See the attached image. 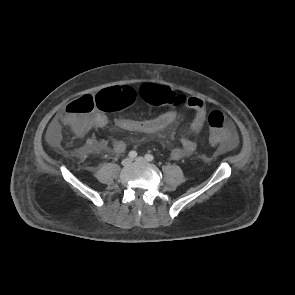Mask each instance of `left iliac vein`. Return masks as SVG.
<instances>
[{
	"instance_id": "4c4485c4",
	"label": "left iliac vein",
	"mask_w": 295,
	"mask_h": 295,
	"mask_svg": "<svg viewBox=\"0 0 295 295\" xmlns=\"http://www.w3.org/2000/svg\"><path fill=\"white\" fill-rule=\"evenodd\" d=\"M135 161H136V162H146V159L143 158V157H137V158L135 159Z\"/></svg>"
}]
</instances>
